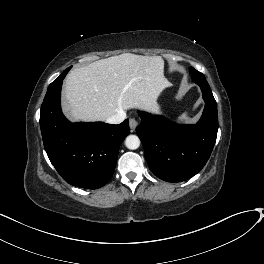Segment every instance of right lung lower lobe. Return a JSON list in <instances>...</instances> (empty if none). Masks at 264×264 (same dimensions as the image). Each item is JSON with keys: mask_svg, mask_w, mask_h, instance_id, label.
Listing matches in <instances>:
<instances>
[{"mask_svg": "<svg viewBox=\"0 0 264 264\" xmlns=\"http://www.w3.org/2000/svg\"><path fill=\"white\" fill-rule=\"evenodd\" d=\"M63 72L47 90L40 111V128L46 153L62 178L86 189L104 186L113 176L129 121L119 125L71 123L61 111Z\"/></svg>", "mask_w": 264, "mask_h": 264, "instance_id": "98d812e1", "label": "right lung lower lobe"}]
</instances>
